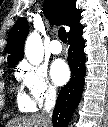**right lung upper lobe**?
I'll list each match as a JSON object with an SVG mask.
<instances>
[{"label": "right lung upper lobe", "instance_id": "1", "mask_svg": "<svg viewBox=\"0 0 108 127\" xmlns=\"http://www.w3.org/2000/svg\"><path fill=\"white\" fill-rule=\"evenodd\" d=\"M43 11L50 23L69 26L70 32L81 26L79 23L81 12L76 9L75 0H45ZM28 32L29 25L26 18H20L11 29L5 48V52L9 54V66L16 65L23 57L24 42Z\"/></svg>", "mask_w": 108, "mask_h": 127}]
</instances>
